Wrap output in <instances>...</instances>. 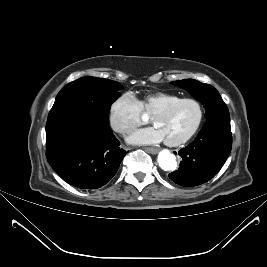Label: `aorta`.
Instances as JSON below:
<instances>
[{
	"label": "aorta",
	"instance_id": "obj_1",
	"mask_svg": "<svg viewBox=\"0 0 267 267\" xmlns=\"http://www.w3.org/2000/svg\"><path fill=\"white\" fill-rule=\"evenodd\" d=\"M157 161L160 168L164 171H173L176 169V158L167 150H163L159 153Z\"/></svg>",
	"mask_w": 267,
	"mask_h": 267
}]
</instances>
